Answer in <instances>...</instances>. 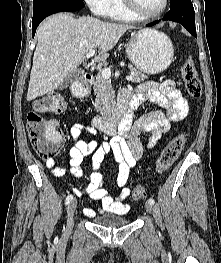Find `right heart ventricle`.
<instances>
[{
	"label": "right heart ventricle",
	"mask_w": 221,
	"mask_h": 263,
	"mask_svg": "<svg viewBox=\"0 0 221 263\" xmlns=\"http://www.w3.org/2000/svg\"><path fill=\"white\" fill-rule=\"evenodd\" d=\"M107 17L118 21H136L138 20L126 7L123 0H112Z\"/></svg>",
	"instance_id": "e07e8e85"
}]
</instances>
